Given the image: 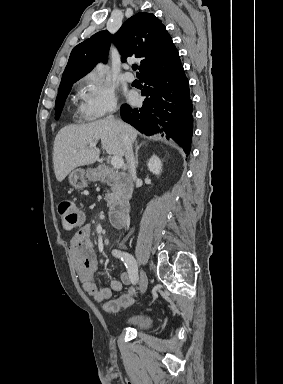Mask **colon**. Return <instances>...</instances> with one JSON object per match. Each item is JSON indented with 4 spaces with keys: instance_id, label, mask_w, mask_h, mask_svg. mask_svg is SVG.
<instances>
[{
    "instance_id": "1",
    "label": "colon",
    "mask_w": 283,
    "mask_h": 384,
    "mask_svg": "<svg viewBox=\"0 0 283 384\" xmlns=\"http://www.w3.org/2000/svg\"><path fill=\"white\" fill-rule=\"evenodd\" d=\"M58 212L64 230L73 231L83 223V214L72 199H64L59 203ZM134 302V293L129 290L123 293L118 299L108 301L103 309L107 313H115L122 308L131 306Z\"/></svg>"
}]
</instances>
